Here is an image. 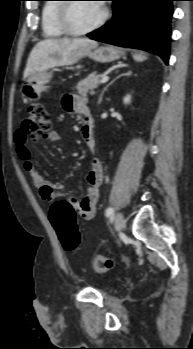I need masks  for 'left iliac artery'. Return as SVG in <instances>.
I'll list each match as a JSON object with an SVG mask.
<instances>
[{
	"label": "left iliac artery",
	"instance_id": "obj_1",
	"mask_svg": "<svg viewBox=\"0 0 193 349\" xmlns=\"http://www.w3.org/2000/svg\"><path fill=\"white\" fill-rule=\"evenodd\" d=\"M114 213V210L113 208L109 207L107 210H106V216H110Z\"/></svg>",
	"mask_w": 193,
	"mask_h": 349
}]
</instances>
